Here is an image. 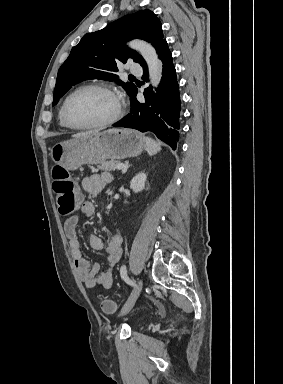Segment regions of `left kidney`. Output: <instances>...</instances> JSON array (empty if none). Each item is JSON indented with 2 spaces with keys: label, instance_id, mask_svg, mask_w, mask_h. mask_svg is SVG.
<instances>
[{
  "label": "left kidney",
  "instance_id": "left-kidney-1",
  "mask_svg": "<svg viewBox=\"0 0 283 384\" xmlns=\"http://www.w3.org/2000/svg\"><path fill=\"white\" fill-rule=\"evenodd\" d=\"M146 174H136L134 178H132L130 182V188L133 190V192H142L145 188V182H146Z\"/></svg>",
  "mask_w": 283,
  "mask_h": 384
}]
</instances>
